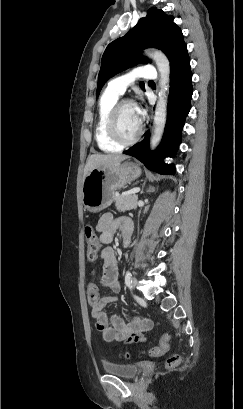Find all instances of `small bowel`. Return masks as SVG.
Instances as JSON below:
<instances>
[{
	"label": "small bowel",
	"mask_w": 243,
	"mask_h": 409,
	"mask_svg": "<svg viewBox=\"0 0 243 409\" xmlns=\"http://www.w3.org/2000/svg\"><path fill=\"white\" fill-rule=\"evenodd\" d=\"M118 230L122 234L129 231L132 236V224L129 221L116 220L113 215L104 214L97 225L99 239L102 244H110ZM103 260V266L98 279V285L102 288L109 289L113 295L101 297L99 302L91 305V315L95 320L96 329L101 333L102 339L106 342L121 341L125 343H145L146 340L143 333L149 331L152 327V322L148 318H134L129 323H126L119 315L108 316L104 312L106 305L117 301L116 294L120 290L118 281V264L115 252L111 247L103 248L99 253ZM90 258L91 261L97 260ZM90 286L96 287L94 284Z\"/></svg>",
	"instance_id": "obj_1"
}]
</instances>
